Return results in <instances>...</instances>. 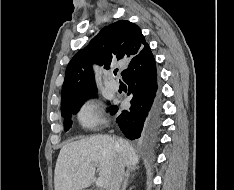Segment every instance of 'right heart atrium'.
<instances>
[{
  "mask_svg": "<svg viewBox=\"0 0 234 190\" xmlns=\"http://www.w3.org/2000/svg\"><path fill=\"white\" fill-rule=\"evenodd\" d=\"M77 120L84 128H95L102 123L98 105L91 100L84 101L78 111Z\"/></svg>",
  "mask_w": 234,
  "mask_h": 190,
  "instance_id": "right-heart-atrium-1",
  "label": "right heart atrium"
}]
</instances>
